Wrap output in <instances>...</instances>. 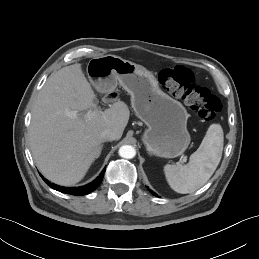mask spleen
Wrapping results in <instances>:
<instances>
[{
    "label": "spleen",
    "instance_id": "1",
    "mask_svg": "<svg viewBox=\"0 0 259 259\" xmlns=\"http://www.w3.org/2000/svg\"><path fill=\"white\" fill-rule=\"evenodd\" d=\"M223 129L211 124L199 148L186 165L167 164L164 173L170 187L181 194L192 193L203 186L213 175L222 157Z\"/></svg>",
    "mask_w": 259,
    "mask_h": 259
}]
</instances>
